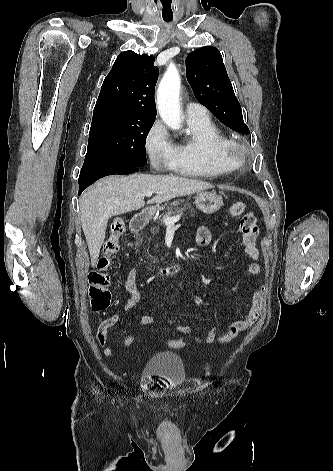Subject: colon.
Returning <instances> with one entry per match:
<instances>
[{"label": "colon", "instance_id": "colon-1", "mask_svg": "<svg viewBox=\"0 0 333 471\" xmlns=\"http://www.w3.org/2000/svg\"><path fill=\"white\" fill-rule=\"evenodd\" d=\"M245 210V203L238 201L229 208V214L233 217L240 216ZM125 231V222L122 218H115L110 227V235L103 245V255L97 263L96 270L89 275V299L91 308L94 311H103L110 306L111 294L109 291L110 276L107 273L112 258L119 250V238ZM135 343V337L129 335L123 340L126 348L132 347ZM172 349H182L186 342L181 339H171L166 342Z\"/></svg>", "mask_w": 333, "mask_h": 471}]
</instances>
